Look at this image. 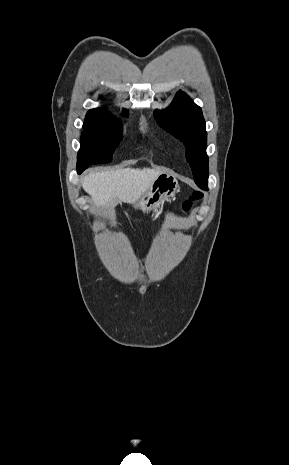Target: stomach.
Listing matches in <instances>:
<instances>
[{
    "mask_svg": "<svg viewBox=\"0 0 289 465\" xmlns=\"http://www.w3.org/2000/svg\"><path fill=\"white\" fill-rule=\"evenodd\" d=\"M179 188V183L175 177L162 173L155 179L146 193L132 202L131 205L144 212L156 211L164 201L174 197Z\"/></svg>",
    "mask_w": 289,
    "mask_h": 465,
    "instance_id": "0dacf381",
    "label": "stomach"
}]
</instances>
